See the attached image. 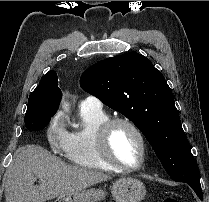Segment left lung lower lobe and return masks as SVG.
<instances>
[{
    "label": "left lung lower lobe",
    "mask_w": 209,
    "mask_h": 202,
    "mask_svg": "<svg viewBox=\"0 0 209 202\" xmlns=\"http://www.w3.org/2000/svg\"><path fill=\"white\" fill-rule=\"evenodd\" d=\"M188 185L192 187V189L195 191L197 196L200 198V200H203V193L201 189L200 180L199 181H186Z\"/></svg>",
    "instance_id": "1"
}]
</instances>
